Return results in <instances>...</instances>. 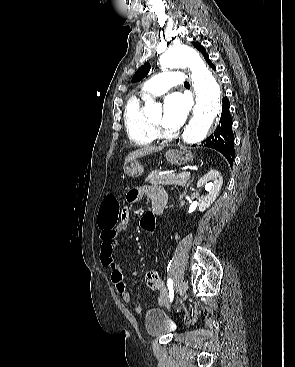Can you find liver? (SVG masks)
Segmentation results:
<instances>
[{
	"label": "liver",
	"mask_w": 295,
	"mask_h": 367,
	"mask_svg": "<svg viewBox=\"0 0 295 367\" xmlns=\"http://www.w3.org/2000/svg\"><path fill=\"white\" fill-rule=\"evenodd\" d=\"M163 149V146H145L131 152L125 159V164L134 161L137 158L150 155L152 153L159 152Z\"/></svg>",
	"instance_id": "liver-1"
}]
</instances>
